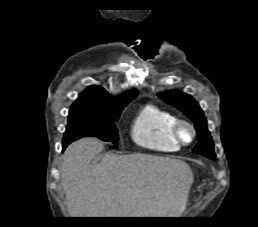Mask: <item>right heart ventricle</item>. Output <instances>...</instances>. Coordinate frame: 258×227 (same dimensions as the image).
<instances>
[{
  "label": "right heart ventricle",
  "mask_w": 258,
  "mask_h": 227,
  "mask_svg": "<svg viewBox=\"0 0 258 227\" xmlns=\"http://www.w3.org/2000/svg\"><path fill=\"white\" fill-rule=\"evenodd\" d=\"M176 116L152 103L141 107L131 129L133 141L140 147L157 152H175L180 145L172 135L171 128Z\"/></svg>",
  "instance_id": "right-heart-ventricle-1"
}]
</instances>
